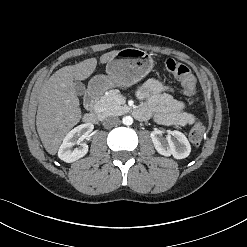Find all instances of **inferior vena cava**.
<instances>
[{
    "label": "inferior vena cava",
    "instance_id": "1",
    "mask_svg": "<svg viewBox=\"0 0 247 247\" xmlns=\"http://www.w3.org/2000/svg\"><path fill=\"white\" fill-rule=\"evenodd\" d=\"M119 122L120 120L117 116H109L103 120V126L106 128H111L113 126L118 125Z\"/></svg>",
    "mask_w": 247,
    "mask_h": 247
}]
</instances>
